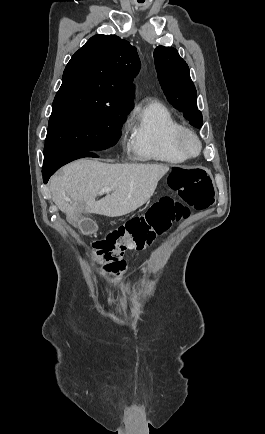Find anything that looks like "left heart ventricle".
<instances>
[{
  "instance_id": "1",
  "label": "left heart ventricle",
  "mask_w": 265,
  "mask_h": 434,
  "mask_svg": "<svg viewBox=\"0 0 265 434\" xmlns=\"http://www.w3.org/2000/svg\"><path fill=\"white\" fill-rule=\"evenodd\" d=\"M185 149L188 153L195 154L198 150V147L193 140H187L185 143Z\"/></svg>"
}]
</instances>
